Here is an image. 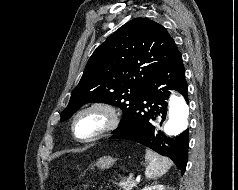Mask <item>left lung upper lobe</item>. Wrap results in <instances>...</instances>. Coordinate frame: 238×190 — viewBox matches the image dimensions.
<instances>
[{
  "label": "left lung upper lobe",
  "instance_id": "obj_1",
  "mask_svg": "<svg viewBox=\"0 0 238 190\" xmlns=\"http://www.w3.org/2000/svg\"><path fill=\"white\" fill-rule=\"evenodd\" d=\"M178 52L162 25L147 18L129 21L94 51L61 121L86 103L101 102L122 109L121 125L151 77Z\"/></svg>",
  "mask_w": 238,
  "mask_h": 190
}]
</instances>
